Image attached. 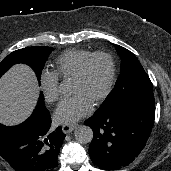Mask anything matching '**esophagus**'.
Masks as SVG:
<instances>
[{"label":"esophagus","mask_w":171,"mask_h":171,"mask_svg":"<svg viewBox=\"0 0 171 171\" xmlns=\"http://www.w3.org/2000/svg\"><path fill=\"white\" fill-rule=\"evenodd\" d=\"M77 127L76 124H64L62 125V131L65 134L71 133Z\"/></svg>","instance_id":"34e87169"}]
</instances>
